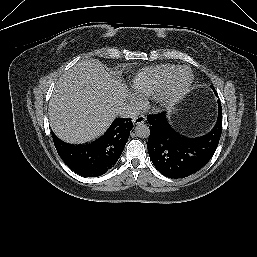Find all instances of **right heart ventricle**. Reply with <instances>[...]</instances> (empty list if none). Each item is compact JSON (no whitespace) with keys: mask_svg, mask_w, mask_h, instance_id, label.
<instances>
[{"mask_svg":"<svg viewBox=\"0 0 257 257\" xmlns=\"http://www.w3.org/2000/svg\"><path fill=\"white\" fill-rule=\"evenodd\" d=\"M176 68L172 64H160L141 69L132 79L131 86L141 99L153 98L166 76Z\"/></svg>","mask_w":257,"mask_h":257,"instance_id":"obj_1","label":"right heart ventricle"}]
</instances>
